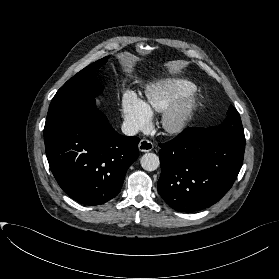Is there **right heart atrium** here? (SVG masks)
I'll return each instance as SVG.
<instances>
[{
    "label": "right heart atrium",
    "mask_w": 279,
    "mask_h": 279,
    "mask_svg": "<svg viewBox=\"0 0 279 279\" xmlns=\"http://www.w3.org/2000/svg\"><path fill=\"white\" fill-rule=\"evenodd\" d=\"M122 114L127 129L132 133L144 131L151 121V114L146 103L131 91L123 95Z\"/></svg>",
    "instance_id": "obj_1"
}]
</instances>
